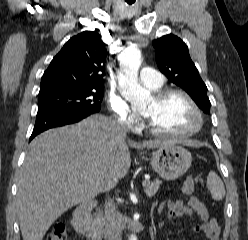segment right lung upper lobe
Segmentation results:
<instances>
[{"mask_svg":"<svg viewBox=\"0 0 248 240\" xmlns=\"http://www.w3.org/2000/svg\"><path fill=\"white\" fill-rule=\"evenodd\" d=\"M105 44L96 31L72 37L44 72L39 95L74 89H103Z\"/></svg>","mask_w":248,"mask_h":240,"instance_id":"right-lung-upper-lobe-1","label":"right lung upper lobe"}]
</instances>
